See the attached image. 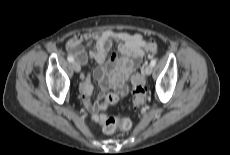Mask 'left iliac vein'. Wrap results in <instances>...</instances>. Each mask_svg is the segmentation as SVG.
I'll use <instances>...</instances> for the list:
<instances>
[{"label": "left iliac vein", "instance_id": "1", "mask_svg": "<svg viewBox=\"0 0 230 155\" xmlns=\"http://www.w3.org/2000/svg\"><path fill=\"white\" fill-rule=\"evenodd\" d=\"M152 71H153V66H151V65H147V66L144 68V73H145L146 75H150V74L152 73Z\"/></svg>", "mask_w": 230, "mask_h": 155}]
</instances>
